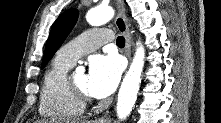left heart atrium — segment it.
I'll return each instance as SVG.
<instances>
[{
  "instance_id": "obj_1",
  "label": "left heart atrium",
  "mask_w": 221,
  "mask_h": 123,
  "mask_svg": "<svg viewBox=\"0 0 221 123\" xmlns=\"http://www.w3.org/2000/svg\"><path fill=\"white\" fill-rule=\"evenodd\" d=\"M122 66L120 60L114 55H98L89 63V89L97 98L109 96L116 88Z\"/></svg>"
}]
</instances>
